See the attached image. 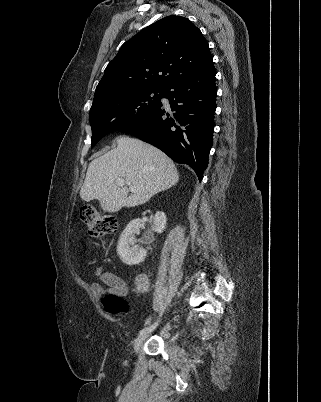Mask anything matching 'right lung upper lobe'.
Instances as JSON below:
<instances>
[{
  "instance_id": "obj_1",
  "label": "right lung upper lobe",
  "mask_w": 321,
  "mask_h": 402,
  "mask_svg": "<svg viewBox=\"0 0 321 402\" xmlns=\"http://www.w3.org/2000/svg\"><path fill=\"white\" fill-rule=\"evenodd\" d=\"M209 45L189 19L168 16L120 48L97 85L93 104L145 89H165L178 78L213 63Z\"/></svg>"
}]
</instances>
